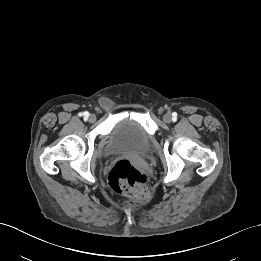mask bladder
I'll return each mask as SVG.
<instances>
[{
    "instance_id": "bladder-1",
    "label": "bladder",
    "mask_w": 261,
    "mask_h": 261,
    "mask_svg": "<svg viewBox=\"0 0 261 261\" xmlns=\"http://www.w3.org/2000/svg\"><path fill=\"white\" fill-rule=\"evenodd\" d=\"M151 147V137L135 119L120 118L112 125L104 148L105 156L131 154L144 156Z\"/></svg>"
}]
</instances>
